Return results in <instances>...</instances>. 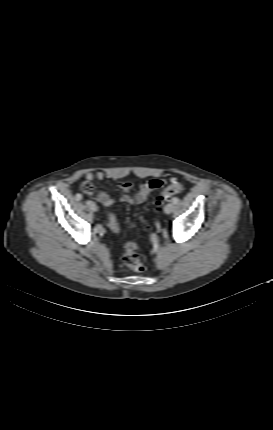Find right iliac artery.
<instances>
[{
    "instance_id": "right-iliac-artery-1",
    "label": "right iliac artery",
    "mask_w": 273,
    "mask_h": 430,
    "mask_svg": "<svg viewBox=\"0 0 273 430\" xmlns=\"http://www.w3.org/2000/svg\"><path fill=\"white\" fill-rule=\"evenodd\" d=\"M82 199V195L81 194H76V200H81Z\"/></svg>"
}]
</instances>
